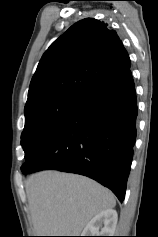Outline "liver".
<instances>
[{
    "label": "liver",
    "mask_w": 158,
    "mask_h": 237,
    "mask_svg": "<svg viewBox=\"0 0 158 237\" xmlns=\"http://www.w3.org/2000/svg\"><path fill=\"white\" fill-rule=\"evenodd\" d=\"M25 188L36 236H79L94 216L116 204L97 182L54 170L29 176Z\"/></svg>",
    "instance_id": "liver-1"
}]
</instances>
